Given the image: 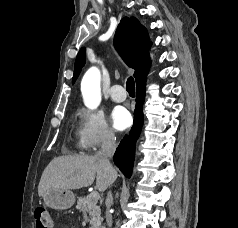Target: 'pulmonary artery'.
I'll return each instance as SVG.
<instances>
[{"instance_id":"pulmonary-artery-1","label":"pulmonary artery","mask_w":238,"mask_h":228,"mask_svg":"<svg viewBox=\"0 0 238 228\" xmlns=\"http://www.w3.org/2000/svg\"><path fill=\"white\" fill-rule=\"evenodd\" d=\"M109 94L111 99L115 102H122L127 97V94L121 85H113Z\"/></svg>"}]
</instances>
